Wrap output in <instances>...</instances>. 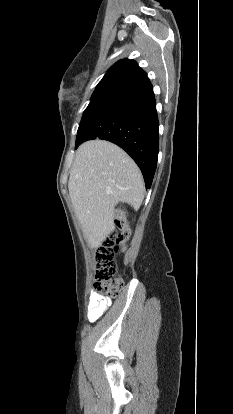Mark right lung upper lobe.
Returning a JSON list of instances; mask_svg holds the SVG:
<instances>
[{"mask_svg":"<svg viewBox=\"0 0 233 414\" xmlns=\"http://www.w3.org/2000/svg\"><path fill=\"white\" fill-rule=\"evenodd\" d=\"M145 75L146 73L138 66L134 60L123 59L116 62L107 71L104 77L118 76L124 79L135 81Z\"/></svg>","mask_w":233,"mask_h":414,"instance_id":"cb5924a9","label":"right lung upper lobe"}]
</instances>
